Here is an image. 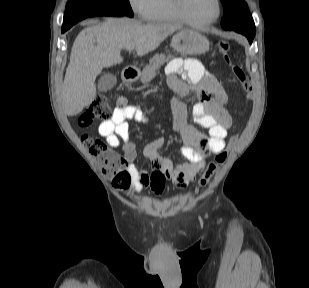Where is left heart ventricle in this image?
<instances>
[{
    "label": "left heart ventricle",
    "instance_id": "obj_1",
    "mask_svg": "<svg viewBox=\"0 0 309 288\" xmlns=\"http://www.w3.org/2000/svg\"><path fill=\"white\" fill-rule=\"evenodd\" d=\"M186 15L194 21H205L216 14L215 0H184Z\"/></svg>",
    "mask_w": 309,
    "mask_h": 288
}]
</instances>
